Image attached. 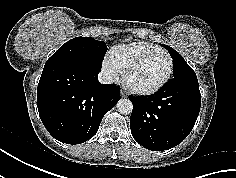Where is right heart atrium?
Listing matches in <instances>:
<instances>
[{"mask_svg": "<svg viewBox=\"0 0 236 178\" xmlns=\"http://www.w3.org/2000/svg\"><path fill=\"white\" fill-rule=\"evenodd\" d=\"M102 69L111 81H117L119 79V70L110 61L109 57H105L102 62Z\"/></svg>", "mask_w": 236, "mask_h": 178, "instance_id": "obj_1", "label": "right heart atrium"}]
</instances>
